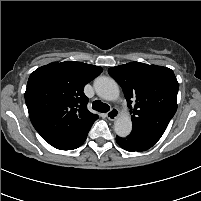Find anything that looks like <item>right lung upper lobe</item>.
Listing matches in <instances>:
<instances>
[{"label": "right lung upper lobe", "instance_id": "cb5924a9", "mask_svg": "<svg viewBox=\"0 0 201 201\" xmlns=\"http://www.w3.org/2000/svg\"><path fill=\"white\" fill-rule=\"evenodd\" d=\"M103 69L83 62H53L29 77L25 101L30 120L44 138H65L89 130L98 115L87 109L84 86Z\"/></svg>", "mask_w": 201, "mask_h": 201}]
</instances>
